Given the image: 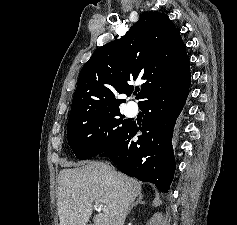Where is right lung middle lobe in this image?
Listing matches in <instances>:
<instances>
[{
    "label": "right lung middle lobe",
    "mask_w": 237,
    "mask_h": 225,
    "mask_svg": "<svg viewBox=\"0 0 237 225\" xmlns=\"http://www.w3.org/2000/svg\"><path fill=\"white\" fill-rule=\"evenodd\" d=\"M128 126L118 109L79 122L69 121L68 143L78 159H89L113 146Z\"/></svg>",
    "instance_id": "dd1d6c3e"
}]
</instances>
